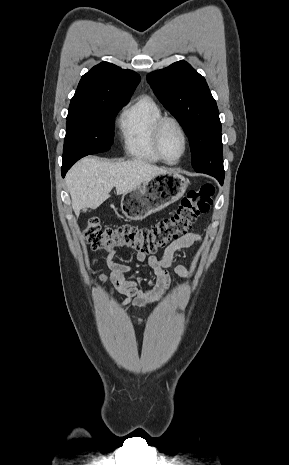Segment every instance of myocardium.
Here are the masks:
<instances>
[{"instance_id":"1","label":"myocardium","mask_w":289,"mask_h":465,"mask_svg":"<svg viewBox=\"0 0 289 465\" xmlns=\"http://www.w3.org/2000/svg\"><path fill=\"white\" fill-rule=\"evenodd\" d=\"M167 123H172L174 124L178 130L180 131L182 138H183V151L180 154L179 157H177L175 160H169L168 158L165 157L163 151H162V134L164 127ZM153 146L155 149L156 154L158 157L165 163L167 164H176L178 163L184 155L187 153L188 147H189V138L188 134L186 132L185 127L183 124L174 116H167V115H162L155 123L154 129H153Z\"/></svg>"}]
</instances>
